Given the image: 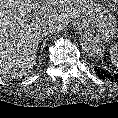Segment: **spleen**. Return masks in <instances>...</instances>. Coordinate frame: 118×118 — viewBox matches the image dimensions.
Instances as JSON below:
<instances>
[{"label":"spleen","mask_w":118,"mask_h":118,"mask_svg":"<svg viewBox=\"0 0 118 118\" xmlns=\"http://www.w3.org/2000/svg\"><path fill=\"white\" fill-rule=\"evenodd\" d=\"M110 55L112 63L118 68V44H114L110 47Z\"/></svg>","instance_id":"spleen-1"}]
</instances>
